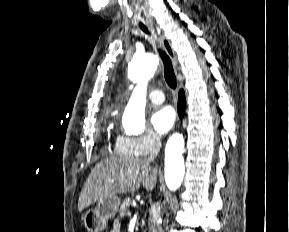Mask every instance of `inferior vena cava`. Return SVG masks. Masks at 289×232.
Masks as SVG:
<instances>
[{
	"instance_id": "602c4592",
	"label": "inferior vena cava",
	"mask_w": 289,
	"mask_h": 232,
	"mask_svg": "<svg viewBox=\"0 0 289 232\" xmlns=\"http://www.w3.org/2000/svg\"><path fill=\"white\" fill-rule=\"evenodd\" d=\"M161 147L160 137L157 135L152 136L150 155L145 159L146 162H152L157 157ZM160 214H161V205L159 202H156L152 205V213L149 217L148 225L149 232H163L161 223H160Z\"/></svg>"
}]
</instances>
